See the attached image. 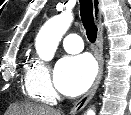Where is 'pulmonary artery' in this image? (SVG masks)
Listing matches in <instances>:
<instances>
[{
	"label": "pulmonary artery",
	"instance_id": "pulmonary-artery-1",
	"mask_svg": "<svg viewBox=\"0 0 131 115\" xmlns=\"http://www.w3.org/2000/svg\"><path fill=\"white\" fill-rule=\"evenodd\" d=\"M64 49L68 53H78L83 50V42L79 35L68 34L62 41Z\"/></svg>",
	"mask_w": 131,
	"mask_h": 115
}]
</instances>
